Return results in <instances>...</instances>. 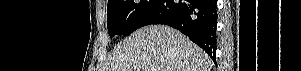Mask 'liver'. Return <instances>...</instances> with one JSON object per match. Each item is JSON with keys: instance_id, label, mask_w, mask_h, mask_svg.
I'll return each instance as SVG.
<instances>
[{"instance_id": "1", "label": "liver", "mask_w": 301, "mask_h": 71, "mask_svg": "<svg viewBox=\"0 0 301 71\" xmlns=\"http://www.w3.org/2000/svg\"><path fill=\"white\" fill-rule=\"evenodd\" d=\"M212 60L181 32L145 26L112 51L101 71H210Z\"/></svg>"}]
</instances>
